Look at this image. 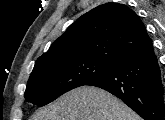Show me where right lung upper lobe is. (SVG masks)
Instances as JSON below:
<instances>
[{"mask_svg": "<svg viewBox=\"0 0 165 120\" xmlns=\"http://www.w3.org/2000/svg\"><path fill=\"white\" fill-rule=\"evenodd\" d=\"M151 42L143 22L123 4L106 3L78 18L36 65L71 58L119 63Z\"/></svg>", "mask_w": 165, "mask_h": 120, "instance_id": "cb5924a9", "label": "right lung upper lobe"}]
</instances>
